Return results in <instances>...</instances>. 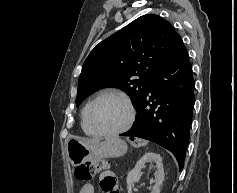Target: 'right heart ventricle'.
I'll return each mask as SVG.
<instances>
[{
    "mask_svg": "<svg viewBox=\"0 0 237 193\" xmlns=\"http://www.w3.org/2000/svg\"><path fill=\"white\" fill-rule=\"evenodd\" d=\"M87 107H88V104H86V106L82 110L81 128H82V130L84 131L85 134H87L89 136H95L97 134L90 128V126L87 122V118H86Z\"/></svg>",
    "mask_w": 237,
    "mask_h": 193,
    "instance_id": "1",
    "label": "right heart ventricle"
}]
</instances>
